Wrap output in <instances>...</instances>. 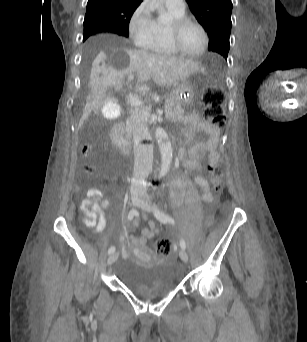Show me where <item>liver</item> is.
Instances as JSON below:
<instances>
[{"label":"liver","instance_id":"1","mask_svg":"<svg viewBox=\"0 0 307 342\" xmlns=\"http://www.w3.org/2000/svg\"><path fill=\"white\" fill-rule=\"evenodd\" d=\"M101 45V56L95 58L90 72V94L87 96L79 126H83L91 112L102 108L103 94L108 88L119 92L128 74H139L135 84L137 92H145L144 82L153 80L158 86H178L181 80L199 70V62L174 58L169 54H150L145 50H132V44Z\"/></svg>","mask_w":307,"mask_h":342}]
</instances>
